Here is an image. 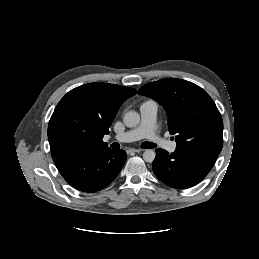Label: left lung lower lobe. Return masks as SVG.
Here are the masks:
<instances>
[{"mask_svg":"<svg viewBox=\"0 0 259 259\" xmlns=\"http://www.w3.org/2000/svg\"><path fill=\"white\" fill-rule=\"evenodd\" d=\"M153 161L156 177L166 185L186 189L201 182L212 169L219 151L210 149H176L169 154L157 149Z\"/></svg>","mask_w":259,"mask_h":259,"instance_id":"left-lung-lower-lobe-1","label":"left lung lower lobe"}]
</instances>
